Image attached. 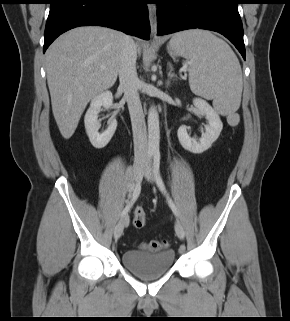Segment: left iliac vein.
<instances>
[{
	"mask_svg": "<svg viewBox=\"0 0 290 321\" xmlns=\"http://www.w3.org/2000/svg\"><path fill=\"white\" fill-rule=\"evenodd\" d=\"M145 178L147 181L149 182H154L155 181V175L153 172V168L151 165V162H149L145 168V172H144ZM175 232L177 234V236L183 240L185 237V231L183 226L181 225V223L179 221L175 222Z\"/></svg>",
	"mask_w": 290,
	"mask_h": 321,
	"instance_id": "1",
	"label": "left iliac vein"
}]
</instances>
